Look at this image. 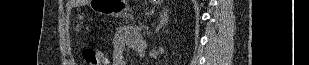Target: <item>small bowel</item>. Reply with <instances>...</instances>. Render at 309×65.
<instances>
[{
	"label": "small bowel",
	"instance_id": "1",
	"mask_svg": "<svg viewBox=\"0 0 309 65\" xmlns=\"http://www.w3.org/2000/svg\"><path fill=\"white\" fill-rule=\"evenodd\" d=\"M143 47L140 30L137 27H120L113 39V53L104 65H125L123 54L126 48L137 50Z\"/></svg>",
	"mask_w": 309,
	"mask_h": 65
}]
</instances>
